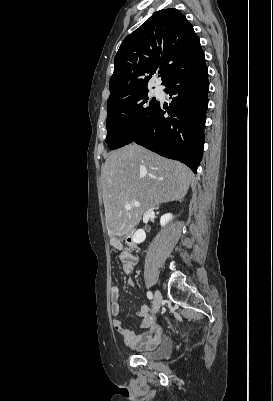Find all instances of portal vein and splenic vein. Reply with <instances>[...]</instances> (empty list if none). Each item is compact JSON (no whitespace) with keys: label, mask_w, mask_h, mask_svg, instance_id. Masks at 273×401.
I'll list each match as a JSON object with an SVG mask.
<instances>
[{"label":"portal vein and splenic vein","mask_w":273,"mask_h":401,"mask_svg":"<svg viewBox=\"0 0 273 401\" xmlns=\"http://www.w3.org/2000/svg\"><path fill=\"white\" fill-rule=\"evenodd\" d=\"M132 207H140V203L135 201L134 205H125V209H132Z\"/></svg>","instance_id":"obj_1"}]
</instances>
